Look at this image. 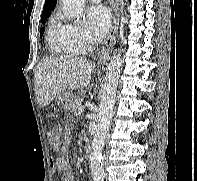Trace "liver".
I'll return each mask as SVG.
<instances>
[{
    "mask_svg": "<svg viewBox=\"0 0 197 181\" xmlns=\"http://www.w3.org/2000/svg\"><path fill=\"white\" fill-rule=\"evenodd\" d=\"M94 69L92 62L79 56L43 58L34 72L37 104L47 106L66 90L88 86Z\"/></svg>",
    "mask_w": 197,
    "mask_h": 181,
    "instance_id": "liver-1",
    "label": "liver"
}]
</instances>
